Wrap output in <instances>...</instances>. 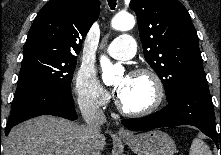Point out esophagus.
I'll return each mask as SVG.
<instances>
[{
  "instance_id": "1",
  "label": "esophagus",
  "mask_w": 221,
  "mask_h": 155,
  "mask_svg": "<svg viewBox=\"0 0 221 155\" xmlns=\"http://www.w3.org/2000/svg\"><path fill=\"white\" fill-rule=\"evenodd\" d=\"M118 134L121 137H130L131 136V134L124 128H119Z\"/></svg>"
}]
</instances>
